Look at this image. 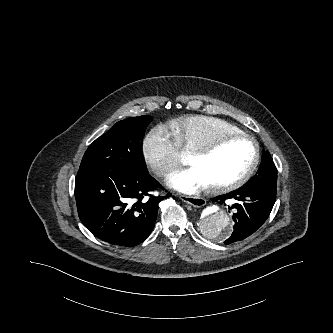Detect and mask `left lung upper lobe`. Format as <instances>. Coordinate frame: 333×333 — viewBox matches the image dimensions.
Listing matches in <instances>:
<instances>
[{"instance_id": "5c2ea615", "label": "left lung upper lobe", "mask_w": 333, "mask_h": 333, "mask_svg": "<svg viewBox=\"0 0 333 333\" xmlns=\"http://www.w3.org/2000/svg\"><path fill=\"white\" fill-rule=\"evenodd\" d=\"M277 169L268 152L263 151L261 164L257 174L253 176L245 187L269 188L277 190Z\"/></svg>"}]
</instances>
